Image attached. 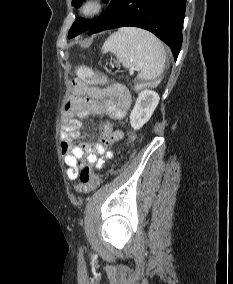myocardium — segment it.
Here are the masks:
<instances>
[{"label": "myocardium", "mask_w": 233, "mask_h": 284, "mask_svg": "<svg viewBox=\"0 0 233 284\" xmlns=\"http://www.w3.org/2000/svg\"><path fill=\"white\" fill-rule=\"evenodd\" d=\"M103 8L101 0H84L80 6V14L84 17H93Z\"/></svg>", "instance_id": "obj_1"}]
</instances>
